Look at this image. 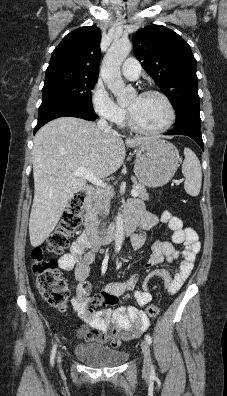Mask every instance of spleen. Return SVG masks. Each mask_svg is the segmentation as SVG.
I'll return each mask as SVG.
<instances>
[{
  "instance_id": "spleen-1",
  "label": "spleen",
  "mask_w": 227,
  "mask_h": 396,
  "mask_svg": "<svg viewBox=\"0 0 227 396\" xmlns=\"http://www.w3.org/2000/svg\"><path fill=\"white\" fill-rule=\"evenodd\" d=\"M184 155L185 159L182 165V173L185 176L184 188L187 194L197 196L202 183L200 161L196 154L189 148L184 149Z\"/></svg>"
}]
</instances>
